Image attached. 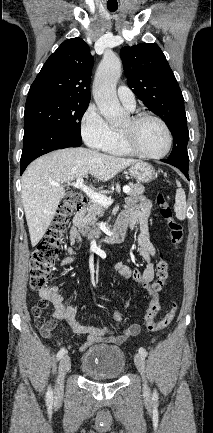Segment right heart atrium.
Listing matches in <instances>:
<instances>
[{
    "mask_svg": "<svg viewBox=\"0 0 213 433\" xmlns=\"http://www.w3.org/2000/svg\"><path fill=\"white\" fill-rule=\"evenodd\" d=\"M80 132L89 147L103 150L109 143L113 130L99 110L94 105H90L81 118Z\"/></svg>",
    "mask_w": 213,
    "mask_h": 433,
    "instance_id": "obj_1",
    "label": "right heart atrium"
}]
</instances>
